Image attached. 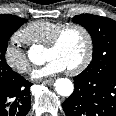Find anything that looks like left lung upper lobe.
Listing matches in <instances>:
<instances>
[{"label":"left lung upper lobe","mask_w":116,"mask_h":116,"mask_svg":"<svg viewBox=\"0 0 116 116\" xmlns=\"http://www.w3.org/2000/svg\"><path fill=\"white\" fill-rule=\"evenodd\" d=\"M73 22L87 29L93 41V59L82 73L95 75L101 72H116V21L82 14L76 15Z\"/></svg>","instance_id":"5c2ea615"}]
</instances>
